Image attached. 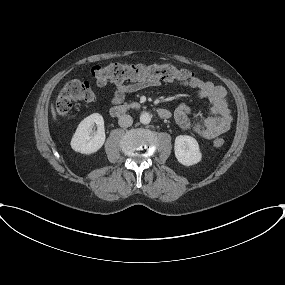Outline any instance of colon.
Returning a JSON list of instances; mask_svg holds the SVG:
<instances>
[{"mask_svg": "<svg viewBox=\"0 0 285 285\" xmlns=\"http://www.w3.org/2000/svg\"><path fill=\"white\" fill-rule=\"evenodd\" d=\"M93 79L99 86L108 82L119 83L126 80H158L174 83H189L196 77L193 72L171 63H110L107 66H95L91 70ZM94 92L87 81L71 80L67 82L55 99V108L62 118H70L72 106L76 102L93 100ZM225 144L223 138H216L213 145L220 148Z\"/></svg>", "mask_w": 285, "mask_h": 285, "instance_id": "colon-1", "label": "colon"}]
</instances>
